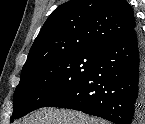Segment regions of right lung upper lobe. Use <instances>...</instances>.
<instances>
[{
  "instance_id": "right-lung-upper-lobe-1",
  "label": "right lung upper lobe",
  "mask_w": 145,
  "mask_h": 124,
  "mask_svg": "<svg viewBox=\"0 0 145 124\" xmlns=\"http://www.w3.org/2000/svg\"><path fill=\"white\" fill-rule=\"evenodd\" d=\"M135 28L134 12L126 0H70L44 23L21 76L65 55L100 53Z\"/></svg>"
}]
</instances>
